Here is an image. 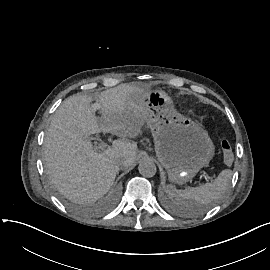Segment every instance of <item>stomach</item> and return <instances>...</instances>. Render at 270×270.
I'll list each match as a JSON object with an SVG mask.
<instances>
[{
  "instance_id": "stomach-1",
  "label": "stomach",
  "mask_w": 270,
  "mask_h": 270,
  "mask_svg": "<svg viewBox=\"0 0 270 270\" xmlns=\"http://www.w3.org/2000/svg\"><path fill=\"white\" fill-rule=\"evenodd\" d=\"M143 98L149 109L145 121L153 135L156 156L169 180L182 185L208 166L214 144L198 123L169 110L171 99L163 90L146 91Z\"/></svg>"
}]
</instances>
